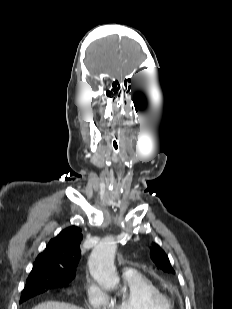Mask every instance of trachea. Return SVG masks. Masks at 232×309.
<instances>
[{
  "label": "trachea",
  "mask_w": 232,
  "mask_h": 309,
  "mask_svg": "<svg viewBox=\"0 0 232 309\" xmlns=\"http://www.w3.org/2000/svg\"><path fill=\"white\" fill-rule=\"evenodd\" d=\"M110 146L116 155L120 153V149H121L120 143L115 136H111Z\"/></svg>",
  "instance_id": "1"
}]
</instances>
